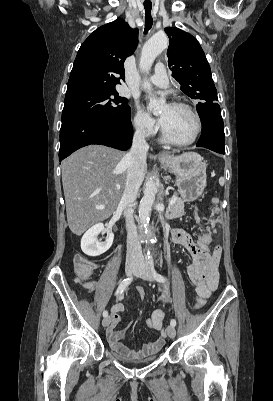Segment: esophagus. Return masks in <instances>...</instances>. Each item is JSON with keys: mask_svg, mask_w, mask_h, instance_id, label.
<instances>
[{"mask_svg": "<svg viewBox=\"0 0 273 401\" xmlns=\"http://www.w3.org/2000/svg\"><path fill=\"white\" fill-rule=\"evenodd\" d=\"M168 157V154H166V153H159V155H158V158L159 159H166Z\"/></svg>", "mask_w": 273, "mask_h": 401, "instance_id": "obj_1", "label": "esophagus"}]
</instances>
